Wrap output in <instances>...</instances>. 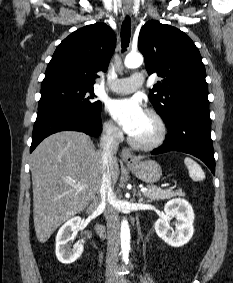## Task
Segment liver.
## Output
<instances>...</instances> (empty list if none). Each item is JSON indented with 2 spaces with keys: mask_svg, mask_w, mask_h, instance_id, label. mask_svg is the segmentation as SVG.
<instances>
[{
  "mask_svg": "<svg viewBox=\"0 0 233 283\" xmlns=\"http://www.w3.org/2000/svg\"><path fill=\"white\" fill-rule=\"evenodd\" d=\"M33 215L36 237L46 242L66 220L81 212L100 191L101 151L84 133L62 131L44 139L31 156ZM112 185L119 177L118 160L110 167ZM76 184H86L78 189Z\"/></svg>",
  "mask_w": 233,
  "mask_h": 283,
  "instance_id": "obj_1",
  "label": "liver"
}]
</instances>
